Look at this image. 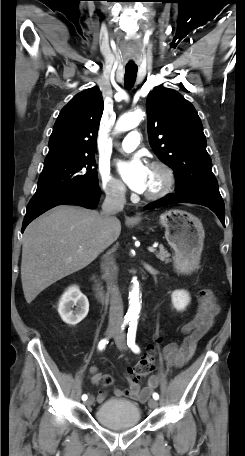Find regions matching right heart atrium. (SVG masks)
Masks as SVG:
<instances>
[{
  "label": "right heart atrium",
  "instance_id": "right-heart-atrium-1",
  "mask_svg": "<svg viewBox=\"0 0 245 456\" xmlns=\"http://www.w3.org/2000/svg\"><path fill=\"white\" fill-rule=\"evenodd\" d=\"M100 182L105 194L114 200H124L126 197V188L123 183L113 177L108 170L101 168L99 170Z\"/></svg>",
  "mask_w": 245,
  "mask_h": 456
}]
</instances>
